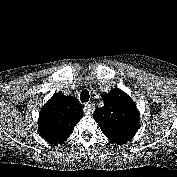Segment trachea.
Wrapping results in <instances>:
<instances>
[{
	"mask_svg": "<svg viewBox=\"0 0 177 177\" xmlns=\"http://www.w3.org/2000/svg\"><path fill=\"white\" fill-rule=\"evenodd\" d=\"M89 98H90L89 92L87 90H83L80 94L81 102H88Z\"/></svg>",
	"mask_w": 177,
	"mask_h": 177,
	"instance_id": "trachea-1",
	"label": "trachea"
}]
</instances>
